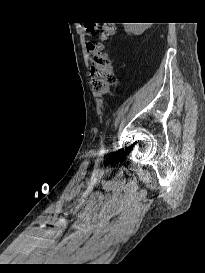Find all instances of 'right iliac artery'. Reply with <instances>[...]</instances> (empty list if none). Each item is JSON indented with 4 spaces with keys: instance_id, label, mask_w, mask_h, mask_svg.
Instances as JSON below:
<instances>
[{
    "instance_id": "1",
    "label": "right iliac artery",
    "mask_w": 205,
    "mask_h": 273,
    "mask_svg": "<svg viewBox=\"0 0 205 273\" xmlns=\"http://www.w3.org/2000/svg\"><path fill=\"white\" fill-rule=\"evenodd\" d=\"M104 152H105L104 147H102V149H101V153H104Z\"/></svg>"
}]
</instances>
